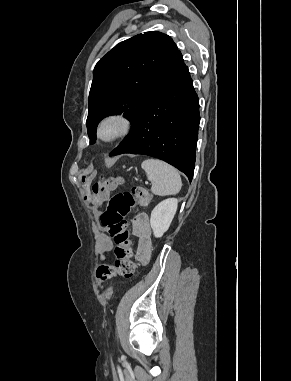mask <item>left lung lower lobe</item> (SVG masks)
<instances>
[{
  "mask_svg": "<svg viewBox=\"0 0 291 381\" xmlns=\"http://www.w3.org/2000/svg\"><path fill=\"white\" fill-rule=\"evenodd\" d=\"M200 122L199 99L188 67L147 102L130 133L109 155L145 154L175 166L192 180Z\"/></svg>",
  "mask_w": 291,
  "mask_h": 381,
  "instance_id": "left-lung-lower-lobe-1",
  "label": "left lung lower lobe"
}]
</instances>
